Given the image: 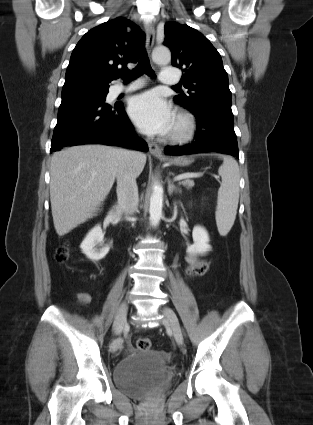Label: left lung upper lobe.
Here are the masks:
<instances>
[{
  "instance_id": "5c2ea615",
  "label": "left lung upper lobe",
  "mask_w": 313,
  "mask_h": 425,
  "mask_svg": "<svg viewBox=\"0 0 313 425\" xmlns=\"http://www.w3.org/2000/svg\"><path fill=\"white\" fill-rule=\"evenodd\" d=\"M163 44L172 51L171 63L185 72L181 81L189 94L174 101L188 110L214 105L230 107L232 94L228 76L218 51L199 31L186 24H165Z\"/></svg>"
}]
</instances>
